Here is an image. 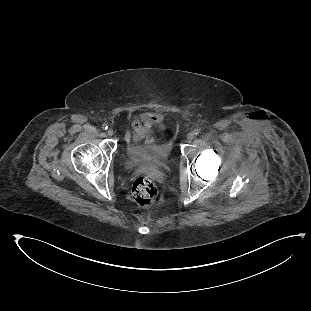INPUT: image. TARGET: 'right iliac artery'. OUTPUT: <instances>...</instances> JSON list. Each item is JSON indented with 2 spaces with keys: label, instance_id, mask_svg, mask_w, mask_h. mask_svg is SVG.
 Instances as JSON below:
<instances>
[{
  "label": "right iliac artery",
  "instance_id": "obj_1",
  "mask_svg": "<svg viewBox=\"0 0 311 311\" xmlns=\"http://www.w3.org/2000/svg\"><path fill=\"white\" fill-rule=\"evenodd\" d=\"M107 128H108V126H107L106 124H103V125H102V129H103V130H107Z\"/></svg>",
  "mask_w": 311,
  "mask_h": 311
}]
</instances>
